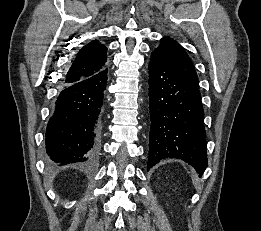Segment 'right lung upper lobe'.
Segmentation results:
<instances>
[{
	"label": "right lung upper lobe",
	"instance_id": "cb5924a9",
	"mask_svg": "<svg viewBox=\"0 0 261 231\" xmlns=\"http://www.w3.org/2000/svg\"><path fill=\"white\" fill-rule=\"evenodd\" d=\"M106 53L107 48L97 40L83 46L67 72L64 83L77 82L103 69L107 62Z\"/></svg>",
	"mask_w": 261,
	"mask_h": 231
}]
</instances>
